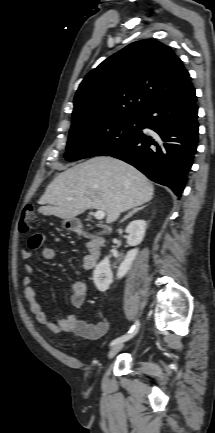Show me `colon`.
<instances>
[{
  "label": "colon",
  "instance_id": "1",
  "mask_svg": "<svg viewBox=\"0 0 215 433\" xmlns=\"http://www.w3.org/2000/svg\"><path fill=\"white\" fill-rule=\"evenodd\" d=\"M38 217L35 208L32 205H27L21 212L19 220V231L21 233H28L38 226Z\"/></svg>",
  "mask_w": 215,
  "mask_h": 433
}]
</instances>
